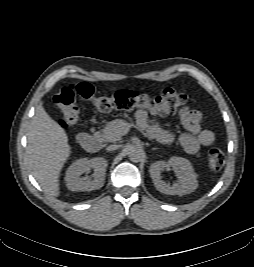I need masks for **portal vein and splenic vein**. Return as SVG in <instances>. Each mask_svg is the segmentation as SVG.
<instances>
[{
  "label": "portal vein and splenic vein",
  "mask_w": 254,
  "mask_h": 267,
  "mask_svg": "<svg viewBox=\"0 0 254 267\" xmlns=\"http://www.w3.org/2000/svg\"><path fill=\"white\" fill-rule=\"evenodd\" d=\"M128 130H129V129H128L127 127H125V128H124V133H127Z\"/></svg>",
  "instance_id": "18ae733b"
}]
</instances>
